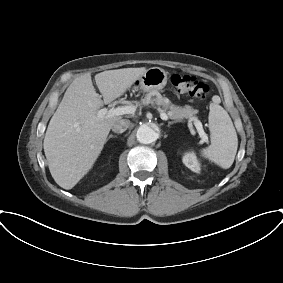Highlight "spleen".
<instances>
[{
	"label": "spleen",
	"instance_id": "spleen-1",
	"mask_svg": "<svg viewBox=\"0 0 283 283\" xmlns=\"http://www.w3.org/2000/svg\"><path fill=\"white\" fill-rule=\"evenodd\" d=\"M209 130L211 145L201 155L223 169L232 166L238 148L237 133L227 111L214 101L210 104Z\"/></svg>",
	"mask_w": 283,
	"mask_h": 283
}]
</instances>
